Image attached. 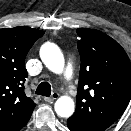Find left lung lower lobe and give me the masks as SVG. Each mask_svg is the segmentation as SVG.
Listing matches in <instances>:
<instances>
[{
  "label": "left lung lower lobe",
  "instance_id": "obj_1",
  "mask_svg": "<svg viewBox=\"0 0 131 131\" xmlns=\"http://www.w3.org/2000/svg\"><path fill=\"white\" fill-rule=\"evenodd\" d=\"M67 126L71 131H94L74 117L68 118Z\"/></svg>",
  "mask_w": 131,
  "mask_h": 131
}]
</instances>
